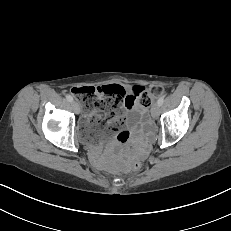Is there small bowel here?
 Segmentation results:
<instances>
[{
    "mask_svg": "<svg viewBox=\"0 0 231 231\" xmlns=\"http://www.w3.org/2000/svg\"><path fill=\"white\" fill-rule=\"evenodd\" d=\"M128 95H130V91H127V98H128ZM125 107L128 109V122H129V129L134 132V133H137L138 132V127H137V121H138V114L137 112H135L133 110V104L131 105H128L127 103V99H126V102H125ZM106 115V113L104 111H97L93 114H91L89 116V119L92 120V119H97V118H102ZM90 124V122H88ZM94 125L96 128L97 126L95 124H92ZM114 138V135L111 133V132H108L107 134L104 135V140L105 142H109V147H114L116 146L119 142L122 143V142H125V141H114L113 140ZM136 142L138 143L139 145V151L141 154H144L147 149L149 148V143L148 141L146 140H143L141 136H139L137 139H136ZM102 149H103V145H98L96 146L94 149H93V155L96 159H100V156H101V153H102Z\"/></svg>",
    "mask_w": 231,
    "mask_h": 231,
    "instance_id": "small-bowel-1",
    "label": "small bowel"
}]
</instances>
